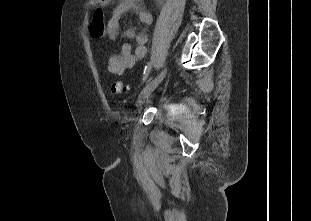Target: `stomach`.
I'll return each instance as SVG.
<instances>
[{
	"mask_svg": "<svg viewBox=\"0 0 311 221\" xmlns=\"http://www.w3.org/2000/svg\"><path fill=\"white\" fill-rule=\"evenodd\" d=\"M99 2H106V0H99Z\"/></svg>",
	"mask_w": 311,
	"mask_h": 221,
	"instance_id": "obj_1",
	"label": "stomach"
}]
</instances>
